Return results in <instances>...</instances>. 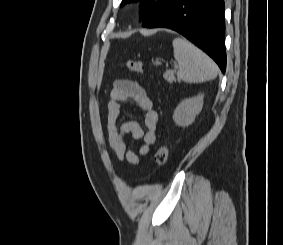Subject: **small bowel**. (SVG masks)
<instances>
[{"mask_svg": "<svg viewBox=\"0 0 283 245\" xmlns=\"http://www.w3.org/2000/svg\"><path fill=\"white\" fill-rule=\"evenodd\" d=\"M134 102L143 116V125L136 121L118 124L122 105ZM158 114L154 110L153 101L146 90L137 82L118 79L113 83L108 103L107 130L111 149L121 162L138 165L140 157L145 156L157 139ZM131 134L133 141L142 140L139 152L133 150L132 144L125 142V135Z\"/></svg>", "mask_w": 283, "mask_h": 245, "instance_id": "c3829d8e", "label": "small bowel"}]
</instances>
